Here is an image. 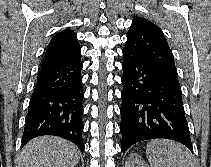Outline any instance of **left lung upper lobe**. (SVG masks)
<instances>
[{
	"mask_svg": "<svg viewBox=\"0 0 211 167\" xmlns=\"http://www.w3.org/2000/svg\"><path fill=\"white\" fill-rule=\"evenodd\" d=\"M123 52L145 61L165 78L180 85L174 56L164 34L149 20L133 17Z\"/></svg>",
	"mask_w": 211,
	"mask_h": 167,
	"instance_id": "obj_1",
	"label": "left lung upper lobe"
}]
</instances>
